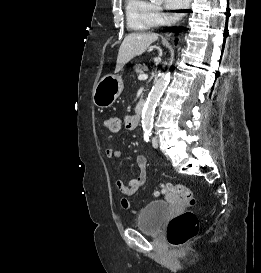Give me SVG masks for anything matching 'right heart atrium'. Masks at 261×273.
I'll return each instance as SVG.
<instances>
[{
	"label": "right heart atrium",
	"mask_w": 261,
	"mask_h": 273,
	"mask_svg": "<svg viewBox=\"0 0 261 273\" xmlns=\"http://www.w3.org/2000/svg\"><path fill=\"white\" fill-rule=\"evenodd\" d=\"M153 16L155 18L156 24H161L165 20V16L162 13L161 9L157 6L153 7Z\"/></svg>",
	"instance_id": "right-heart-atrium-1"
}]
</instances>
